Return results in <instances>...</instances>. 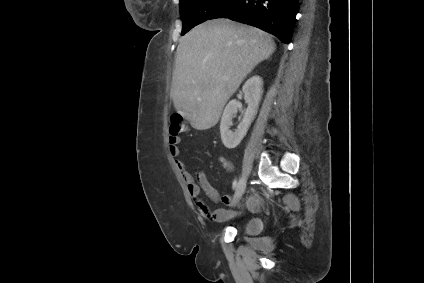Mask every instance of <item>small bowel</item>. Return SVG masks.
I'll use <instances>...</instances> for the list:
<instances>
[{"mask_svg":"<svg viewBox=\"0 0 424 283\" xmlns=\"http://www.w3.org/2000/svg\"><path fill=\"white\" fill-rule=\"evenodd\" d=\"M181 139L177 135L169 137V151L172 156L178 157L180 154L179 143ZM219 162L229 173L233 171V164L225 157L220 156ZM176 165L180 170L182 177L186 183L187 190L191 196L196 208L200 214L212 221L221 222L231 218L234 212L224 208L212 210L201 198V191L212 201L217 202L221 200L226 205H232V198L229 195L220 197L218 191L211 185L207 175L203 171H197L195 174L191 173L186 164L180 160H176ZM247 204L250 208H255L259 205L258 199L251 195L247 199Z\"/></svg>","mask_w":424,"mask_h":283,"instance_id":"small-bowel-1","label":"small bowel"}]
</instances>
